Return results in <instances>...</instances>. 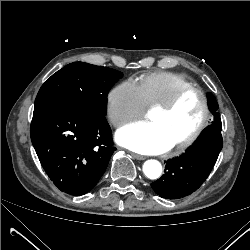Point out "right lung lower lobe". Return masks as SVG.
I'll use <instances>...</instances> for the list:
<instances>
[{"mask_svg":"<svg viewBox=\"0 0 250 250\" xmlns=\"http://www.w3.org/2000/svg\"><path fill=\"white\" fill-rule=\"evenodd\" d=\"M30 135L49 178L75 196L97 184L116 150L105 115L66 103L35 105Z\"/></svg>","mask_w":250,"mask_h":250,"instance_id":"right-lung-lower-lobe-1","label":"right lung lower lobe"}]
</instances>
